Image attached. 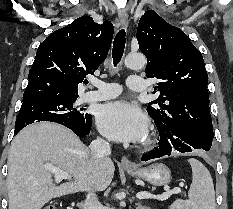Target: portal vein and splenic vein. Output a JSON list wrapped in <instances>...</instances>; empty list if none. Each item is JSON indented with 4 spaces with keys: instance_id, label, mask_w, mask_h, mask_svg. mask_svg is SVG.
<instances>
[{
    "instance_id": "1",
    "label": "portal vein and splenic vein",
    "mask_w": 233,
    "mask_h": 209,
    "mask_svg": "<svg viewBox=\"0 0 233 209\" xmlns=\"http://www.w3.org/2000/svg\"><path fill=\"white\" fill-rule=\"evenodd\" d=\"M45 167L47 170H49L51 173H53L55 175L56 183H59L63 179H67V180L71 179V176L67 172H65L57 167H54L51 165H46ZM180 192H181L180 188H173L172 190H167L163 194L157 195V196L150 194L148 192H140L137 194V198L138 199H149V198L151 199V198H153V199L163 201V200L168 199L171 196V194H179Z\"/></svg>"
}]
</instances>
